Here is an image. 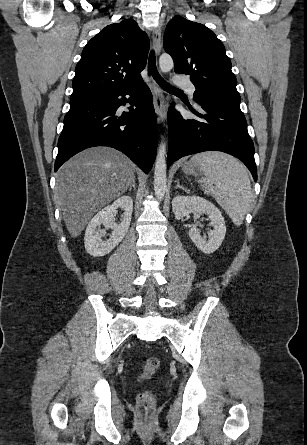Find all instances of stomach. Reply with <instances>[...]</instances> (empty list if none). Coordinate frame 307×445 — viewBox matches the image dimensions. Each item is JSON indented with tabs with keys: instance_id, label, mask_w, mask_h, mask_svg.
<instances>
[{
	"instance_id": "stomach-1",
	"label": "stomach",
	"mask_w": 307,
	"mask_h": 445,
	"mask_svg": "<svg viewBox=\"0 0 307 445\" xmlns=\"http://www.w3.org/2000/svg\"><path fill=\"white\" fill-rule=\"evenodd\" d=\"M198 164H195V162H187V164H184L183 170L187 172V174H194L195 170H197Z\"/></svg>"
}]
</instances>
